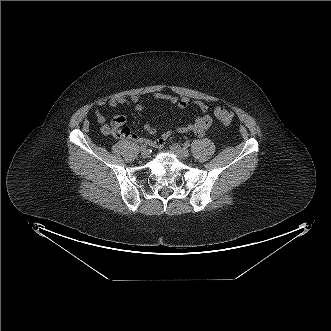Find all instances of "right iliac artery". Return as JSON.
Masks as SVG:
<instances>
[{
  "label": "right iliac artery",
  "mask_w": 331,
  "mask_h": 331,
  "mask_svg": "<svg viewBox=\"0 0 331 331\" xmlns=\"http://www.w3.org/2000/svg\"><path fill=\"white\" fill-rule=\"evenodd\" d=\"M147 145H148L147 143L142 144V145H141V150H142V149H145V148L147 147Z\"/></svg>",
  "instance_id": "obj_1"
}]
</instances>
